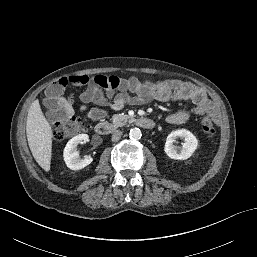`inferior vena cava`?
<instances>
[{
	"mask_svg": "<svg viewBox=\"0 0 257 257\" xmlns=\"http://www.w3.org/2000/svg\"><path fill=\"white\" fill-rule=\"evenodd\" d=\"M121 135H122V132H121L120 130H115V131L112 133V141H113V142H116V141L120 140Z\"/></svg>",
	"mask_w": 257,
	"mask_h": 257,
	"instance_id": "inferior-vena-cava-1",
	"label": "inferior vena cava"
}]
</instances>
